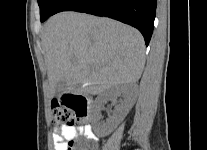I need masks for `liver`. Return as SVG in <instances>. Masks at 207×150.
Instances as JSON below:
<instances>
[{
    "label": "liver",
    "instance_id": "obj_1",
    "mask_svg": "<svg viewBox=\"0 0 207 150\" xmlns=\"http://www.w3.org/2000/svg\"><path fill=\"white\" fill-rule=\"evenodd\" d=\"M41 40L52 96L62 79L69 91L95 95L137 82L144 69L140 32L109 18L62 12L46 22Z\"/></svg>",
    "mask_w": 207,
    "mask_h": 150
}]
</instances>
